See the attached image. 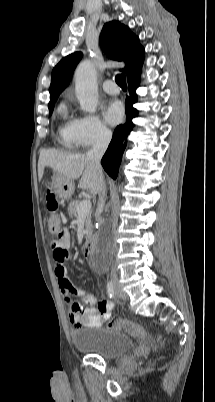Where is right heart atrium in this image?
I'll return each instance as SVG.
<instances>
[{
	"instance_id": "obj_1",
	"label": "right heart atrium",
	"mask_w": 215,
	"mask_h": 402,
	"mask_svg": "<svg viewBox=\"0 0 215 402\" xmlns=\"http://www.w3.org/2000/svg\"><path fill=\"white\" fill-rule=\"evenodd\" d=\"M72 134L75 145L82 148L105 143L111 132L97 115H84L73 121Z\"/></svg>"
}]
</instances>
